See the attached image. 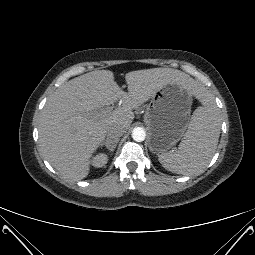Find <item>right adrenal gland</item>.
I'll use <instances>...</instances> for the list:
<instances>
[{
	"label": "right adrenal gland",
	"instance_id": "1",
	"mask_svg": "<svg viewBox=\"0 0 255 255\" xmlns=\"http://www.w3.org/2000/svg\"><path fill=\"white\" fill-rule=\"evenodd\" d=\"M104 146H106V148L109 150V152L111 153L110 155L112 156L113 151L115 150L117 143L113 144L112 146H107L105 143L101 144V148H103Z\"/></svg>",
	"mask_w": 255,
	"mask_h": 255
}]
</instances>
